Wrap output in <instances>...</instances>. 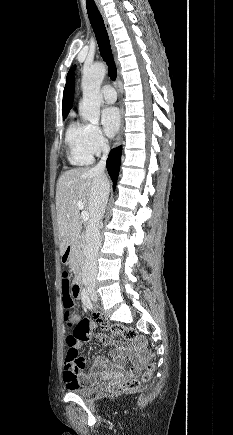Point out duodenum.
I'll return each mask as SVG.
<instances>
[{
	"label": "duodenum",
	"mask_w": 233,
	"mask_h": 435,
	"mask_svg": "<svg viewBox=\"0 0 233 435\" xmlns=\"http://www.w3.org/2000/svg\"><path fill=\"white\" fill-rule=\"evenodd\" d=\"M75 247V243L74 242H70L68 243L63 251H62V262L63 263H67L68 262V258L71 254V252L74 250ZM82 274L79 273L73 283V292H74V297L80 299L81 295H82Z\"/></svg>",
	"instance_id": "1"
}]
</instances>
